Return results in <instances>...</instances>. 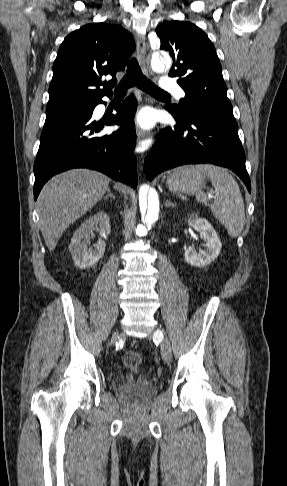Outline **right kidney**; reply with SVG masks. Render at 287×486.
I'll return each instance as SVG.
<instances>
[{"label":"right kidney","mask_w":287,"mask_h":486,"mask_svg":"<svg viewBox=\"0 0 287 486\" xmlns=\"http://www.w3.org/2000/svg\"><path fill=\"white\" fill-rule=\"evenodd\" d=\"M95 229L99 230L101 236H106L110 233V219L104 211L90 216L73 234L69 251L74 264L80 269L95 265L104 255L106 245L103 240L99 239L94 249L87 246L90 234Z\"/></svg>","instance_id":"ca27d5eb"}]
</instances>
